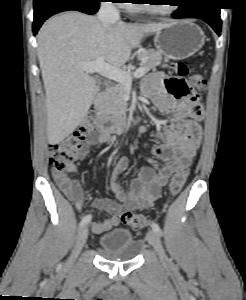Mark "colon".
<instances>
[{
	"instance_id": "1",
	"label": "colon",
	"mask_w": 246,
	"mask_h": 300,
	"mask_svg": "<svg viewBox=\"0 0 246 300\" xmlns=\"http://www.w3.org/2000/svg\"><path fill=\"white\" fill-rule=\"evenodd\" d=\"M169 68L180 78L186 77L189 73L188 66L183 62H171ZM204 86L205 80L199 73L193 74L187 83V92L193 100L190 113L197 118L202 115L199 92ZM95 129V116L89 115L72 135L64 140L50 144L48 147V156L52 170L59 173L73 172V161L84 151L87 139L95 132ZM189 173V165L180 166L175 171L168 187V193L171 198L179 195L189 177ZM122 220L133 229H143L148 225L147 218L136 213H124Z\"/></svg>"
}]
</instances>
